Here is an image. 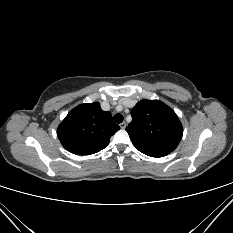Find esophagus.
Wrapping results in <instances>:
<instances>
[{"instance_id": "1", "label": "esophagus", "mask_w": 233, "mask_h": 233, "mask_svg": "<svg viewBox=\"0 0 233 233\" xmlns=\"http://www.w3.org/2000/svg\"><path fill=\"white\" fill-rule=\"evenodd\" d=\"M126 126H127L126 122L120 123V128H121V129H125Z\"/></svg>"}]
</instances>
